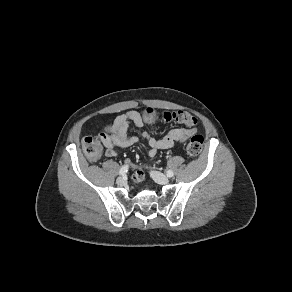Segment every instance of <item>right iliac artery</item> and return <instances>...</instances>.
<instances>
[{
	"label": "right iliac artery",
	"instance_id": "1",
	"mask_svg": "<svg viewBox=\"0 0 292 292\" xmlns=\"http://www.w3.org/2000/svg\"><path fill=\"white\" fill-rule=\"evenodd\" d=\"M128 169H129L128 165L122 166L119 170V175H125L127 173Z\"/></svg>",
	"mask_w": 292,
	"mask_h": 292
}]
</instances>
